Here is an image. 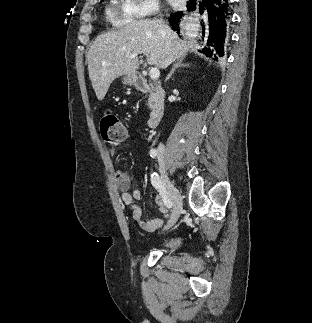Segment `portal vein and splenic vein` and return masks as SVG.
<instances>
[{
    "instance_id": "portal-vein-and-splenic-vein-1",
    "label": "portal vein and splenic vein",
    "mask_w": 312,
    "mask_h": 323,
    "mask_svg": "<svg viewBox=\"0 0 312 323\" xmlns=\"http://www.w3.org/2000/svg\"><path fill=\"white\" fill-rule=\"evenodd\" d=\"M137 54H131V58H136ZM160 76V72L158 70V68H151L150 70V78H152V80H158Z\"/></svg>"
}]
</instances>
